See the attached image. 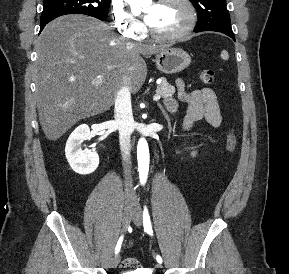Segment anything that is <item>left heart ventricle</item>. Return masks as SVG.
Masks as SVG:
<instances>
[{
    "instance_id": "1",
    "label": "left heart ventricle",
    "mask_w": 289,
    "mask_h": 274,
    "mask_svg": "<svg viewBox=\"0 0 289 274\" xmlns=\"http://www.w3.org/2000/svg\"><path fill=\"white\" fill-rule=\"evenodd\" d=\"M145 12L152 18L149 25L162 34H171L180 30L187 21V10L177 0L162 4H152L146 7Z\"/></svg>"
}]
</instances>
